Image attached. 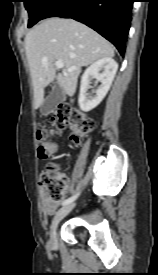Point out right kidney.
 I'll return each instance as SVG.
<instances>
[{
	"mask_svg": "<svg viewBox=\"0 0 158 275\" xmlns=\"http://www.w3.org/2000/svg\"><path fill=\"white\" fill-rule=\"evenodd\" d=\"M118 69L117 62L112 58H102L90 65L81 78L79 106L82 111L88 112L97 107L109 91L112 81ZM100 71H102L100 73ZM97 79L101 85L95 91L94 96H88L91 79Z\"/></svg>",
	"mask_w": 158,
	"mask_h": 275,
	"instance_id": "obj_1",
	"label": "right kidney"
}]
</instances>
